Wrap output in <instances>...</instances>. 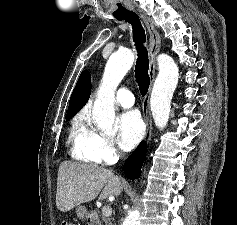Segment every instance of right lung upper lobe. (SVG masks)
Instances as JSON below:
<instances>
[{"label": "right lung upper lobe", "mask_w": 237, "mask_h": 225, "mask_svg": "<svg viewBox=\"0 0 237 225\" xmlns=\"http://www.w3.org/2000/svg\"><path fill=\"white\" fill-rule=\"evenodd\" d=\"M91 94V75L89 71L84 70L70 97L67 115H75L78 110L86 104Z\"/></svg>", "instance_id": "obj_1"}]
</instances>
